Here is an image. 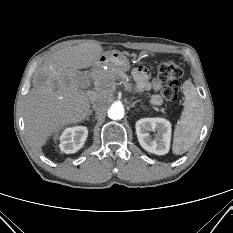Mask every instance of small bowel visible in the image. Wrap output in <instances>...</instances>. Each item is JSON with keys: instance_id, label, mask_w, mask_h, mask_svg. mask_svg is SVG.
Here are the masks:
<instances>
[{"instance_id": "1", "label": "small bowel", "mask_w": 233, "mask_h": 233, "mask_svg": "<svg viewBox=\"0 0 233 233\" xmlns=\"http://www.w3.org/2000/svg\"><path fill=\"white\" fill-rule=\"evenodd\" d=\"M133 78L135 79L140 91H152L151 102L154 105H161L162 98L159 95L161 83L158 80H151L150 73L145 67H137L133 70Z\"/></svg>"}]
</instances>
